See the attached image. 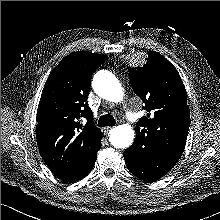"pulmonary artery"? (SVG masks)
Here are the masks:
<instances>
[{
    "mask_svg": "<svg viewBox=\"0 0 220 220\" xmlns=\"http://www.w3.org/2000/svg\"><path fill=\"white\" fill-rule=\"evenodd\" d=\"M123 112H124V114H125L127 117L130 118L131 112H130L128 109H126V107L123 108Z\"/></svg>",
    "mask_w": 220,
    "mask_h": 220,
    "instance_id": "pulmonary-artery-1",
    "label": "pulmonary artery"
}]
</instances>
